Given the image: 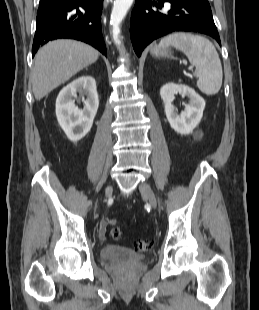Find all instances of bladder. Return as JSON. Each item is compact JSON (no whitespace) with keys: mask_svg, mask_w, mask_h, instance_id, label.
I'll use <instances>...</instances> for the list:
<instances>
[{"mask_svg":"<svg viewBox=\"0 0 259 310\" xmlns=\"http://www.w3.org/2000/svg\"><path fill=\"white\" fill-rule=\"evenodd\" d=\"M100 257L104 261L124 264L140 262L145 259L143 254L114 244H107L102 247L100 250Z\"/></svg>","mask_w":259,"mask_h":310,"instance_id":"1","label":"bladder"}]
</instances>
